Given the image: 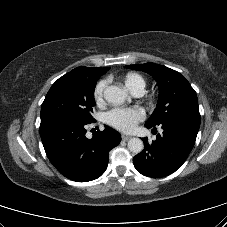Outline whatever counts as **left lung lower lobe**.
I'll list each match as a JSON object with an SVG mask.
<instances>
[{"mask_svg": "<svg viewBox=\"0 0 227 227\" xmlns=\"http://www.w3.org/2000/svg\"><path fill=\"white\" fill-rule=\"evenodd\" d=\"M159 125L163 133L152 143L143 138L144 150L133 158L136 170L148 177L167 176L184 163L195 144L200 119H171Z\"/></svg>", "mask_w": 227, "mask_h": 227, "instance_id": "0a47b994", "label": "left lung lower lobe"}]
</instances>
